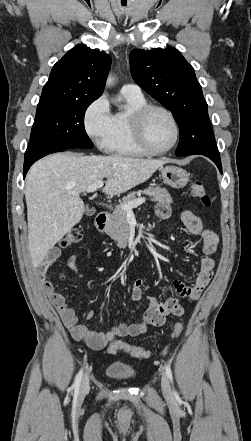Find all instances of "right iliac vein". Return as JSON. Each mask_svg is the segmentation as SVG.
Wrapping results in <instances>:
<instances>
[{
    "label": "right iliac vein",
    "instance_id": "1",
    "mask_svg": "<svg viewBox=\"0 0 251 441\" xmlns=\"http://www.w3.org/2000/svg\"><path fill=\"white\" fill-rule=\"evenodd\" d=\"M89 388H90V386H89V378L86 375L83 378L82 383H81L80 393H79L80 394V398H83L89 392Z\"/></svg>",
    "mask_w": 251,
    "mask_h": 441
}]
</instances>
